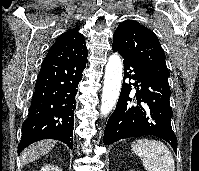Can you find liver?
Wrapping results in <instances>:
<instances>
[{"mask_svg": "<svg viewBox=\"0 0 199 171\" xmlns=\"http://www.w3.org/2000/svg\"><path fill=\"white\" fill-rule=\"evenodd\" d=\"M56 145L54 140H42L31 144L29 147L24 149L21 153L22 164H28L44 156Z\"/></svg>", "mask_w": 199, "mask_h": 171, "instance_id": "1", "label": "liver"}]
</instances>
